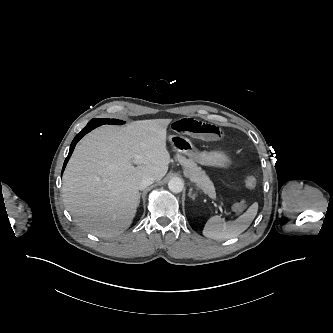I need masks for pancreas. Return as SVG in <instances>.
Returning <instances> with one entry per match:
<instances>
[{"label": "pancreas", "instance_id": "1", "mask_svg": "<svg viewBox=\"0 0 333 333\" xmlns=\"http://www.w3.org/2000/svg\"><path fill=\"white\" fill-rule=\"evenodd\" d=\"M177 160L185 169V175L193 182L196 186L201 188L210 197L216 195L213 182L206 175L205 171L197 164L189 159L182 156H177Z\"/></svg>", "mask_w": 333, "mask_h": 333}]
</instances>
